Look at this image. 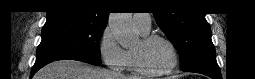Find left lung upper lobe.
<instances>
[{
    "label": "left lung upper lobe",
    "mask_w": 255,
    "mask_h": 79,
    "mask_svg": "<svg viewBox=\"0 0 255 79\" xmlns=\"http://www.w3.org/2000/svg\"><path fill=\"white\" fill-rule=\"evenodd\" d=\"M160 9L154 14L156 22L178 50L181 69L188 70L199 66H218L215 49L211 40V30L200 12L167 11L169 2L156 1Z\"/></svg>",
    "instance_id": "left-lung-upper-lobe-1"
}]
</instances>
